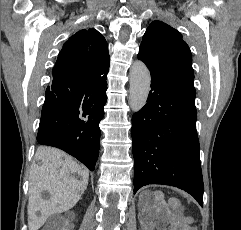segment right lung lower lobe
Wrapping results in <instances>:
<instances>
[{
    "label": "right lung lower lobe",
    "mask_w": 241,
    "mask_h": 230,
    "mask_svg": "<svg viewBox=\"0 0 241 230\" xmlns=\"http://www.w3.org/2000/svg\"><path fill=\"white\" fill-rule=\"evenodd\" d=\"M107 76L53 72L39 124V144L60 148L91 171L100 148L99 122L107 101Z\"/></svg>",
    "instance_id": "right-lung-lower-lobe-1"
}]
</instances>
